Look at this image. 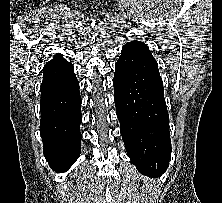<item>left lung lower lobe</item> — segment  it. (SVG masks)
<instances>
[{
	"instance_id": "left-lung-lower-lobe-1",
	"label": "left lung lower lobe",
	"mask_w": 222,
	"mask_h": 203,
	"mask_svg": "<svg viewBox=\"0 0 222 203\" xmlns=\"http://www.w3.org/2000/svg\"><path fill=\"white\" fill-rule=\"evenodd\" d=\"M114 101L126 151L139 172L159 176L171 156L169 116L158 64L141 41L125 44L115 64Z\"/></svg>"
}]
</instances>
